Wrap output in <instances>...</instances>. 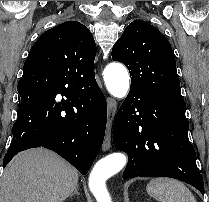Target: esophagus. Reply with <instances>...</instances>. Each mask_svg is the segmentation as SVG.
Listing matches in <instances>:
<instances>
[{
    "label": "esophagus",
    "instance_id": "esophagus-1",
    "mask_svg": "<svg viewBox=\"0 0 209 202\" xmlns=\"http://www.w3.org/2000/svg\"><path fill=\"white\" fill-rule=\"evenodd\" d=\"M117 105L113 98L107 99V125L102 150L107 151L111 146L112 126L116 115Z\"/></svg>",
    "mask_w": 209,
    "mask_h": 202
}]
</instances>
